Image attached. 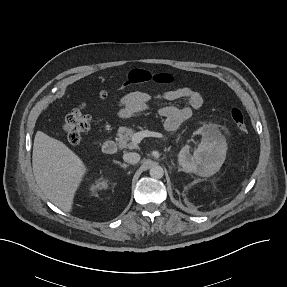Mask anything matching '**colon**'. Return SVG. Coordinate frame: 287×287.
Returning <instances> with one entry per match:
<instances>
[{"label": "colon", "mask_w": 287, "mask_h": 287, "mask_svg": "<svg viewBox=\"0 0 287 287\" xmlns=\"http://www.w3.org/2000/svg\"><path fill=\"white\" fill-rule=\"evenodd\" d=\"M150 81L160 84H170L173 82V77L166 73L152 74L146 70L135 69L130 72L128 79L123 84L121 89L126 90L130 86L140 85ZM106 96V92H101L99 94L101 99L106 98ZM230 117L239 131L245 132L247 130L244 115L239 108H232L230 111ZM89 127L90 117L85 112V106L80 105L66 116L63 124V131L67 137V140L71 144L76 145L81 142L83 134L88 131Z\"/></svg>", "instance_id": "1"}]
</instances>
